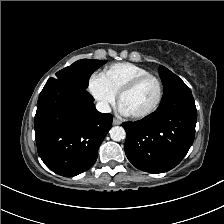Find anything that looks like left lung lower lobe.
I'll return each mask as SVG.
<instances>
[{
    "label": "left lung lower lobe",
    "instance_id": "1",
    "mask_svg": "<svg viewBox=\"0 0 224 224\" xmlns=\"http://www.w3.org/2000/svg\"><path fill=\"white\" fill-rule=\"evenodd\" d=\"M197 110L191 90L161 102L158 109L136 122H124L125 153L138 169L163 173L180 163L195 137Z\"/></svg>",
    "mask_w": 224,
    "mask_h": 224
}]
</instances>
